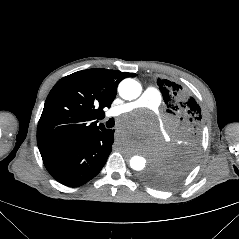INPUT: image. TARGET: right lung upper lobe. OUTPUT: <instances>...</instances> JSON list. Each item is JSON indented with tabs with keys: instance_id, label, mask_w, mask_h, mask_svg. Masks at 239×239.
<instances>
[{
	"instance_id": "obj_1",
	"label": "right lung upper lobe",
	"mask_w": 239,
	"mask_h": 239,
	"mask_svg": "<svg viewBox=\"0 0 239 239\" xmlns=\"http://www.w3.org/2000/svg\"><path fill=\"white\" fill-rule=\"evenodd\" d=\"M135 73L87 69L60 79L50 91L37 127L41 156L80 142L104 127L95 119L115 99L117 86Z\"/></svg>"
}]
</instances>
